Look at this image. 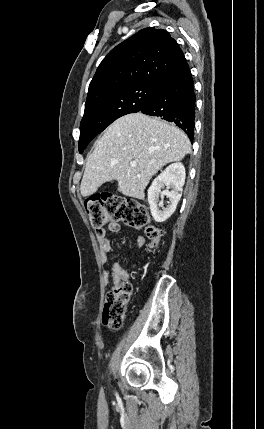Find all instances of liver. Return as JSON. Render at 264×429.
Returning <instances> with one entry per match:
<instances>
[{
  "instance_id": "liver-1",
  "label": "liver",
  "mask_w": 264,
  "mask_h": 429,
  "mask_svg": "<svg viewBox=\"0 0 264 429\" xmlns=\"http://www.w3.org/2000/svg\"><path fill=\"white\" fill-rule=\"evenodd\" d=\"M190 152L189 138L174 124L142 113L127 114L105 130L88 156L81 194L90 196L103 183L116 180L122 194L142 200L152 176ZM131 161L137 166L131 167Z\"/></svg>"
}]
</instances>
